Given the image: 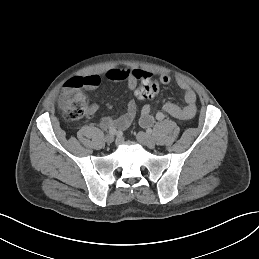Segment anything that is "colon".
Here are the masks:
<instances>
[{
  "label": "colon",
  "mask_w": 259,
  "mask_h": 259,
  "mask_svg": "<svg viewBox=\"0 0 259 259\" xmlns=\"http://www.w3.org/2000/svg\"><path fill=\"white\" fill-rule=\"evenodd\" d=\"M85 85L86 80L80 77L71 78L65 84L60 104L65 117L69 120H80L88 111L86 98L82 92ZM158 93L159 87L147 81L142 82L135 92L139 99H151Z\"/></svg>",
  "instance_id": "colon-1"
}]
</instances>
